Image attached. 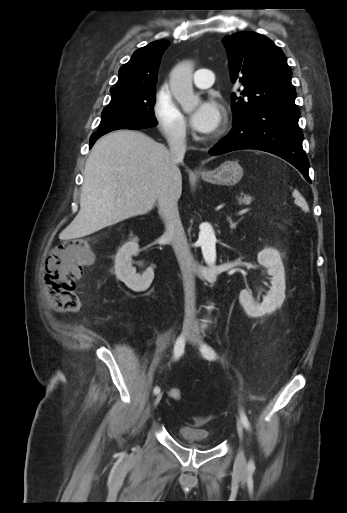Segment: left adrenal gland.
I'll use <instances>...</instances> for the list:
<instances>
[{"label": "left adrenal gland", "instance_id": "left-adrenal-gland-1", "mask_svg": "<svg viewBox=\"0 0 347 513\" xmlns=\"http://www.w3.org/2000/svg\"><path fill=\"white\" fill-rule=\"evenodd\" d=\"M243 218H239V220H237L236 222H233V220L231 219L230 216L227 217V221L229 222L230 224V228L231 230H234L236 228V226L239 224V222L242 220Z\"/></svg>", "mask_w": 347, "mask_h": 513}]
</instances>
